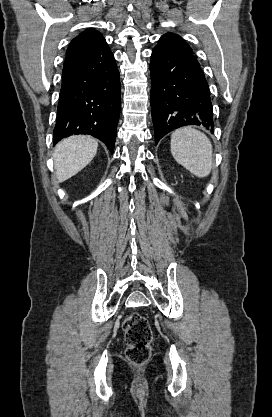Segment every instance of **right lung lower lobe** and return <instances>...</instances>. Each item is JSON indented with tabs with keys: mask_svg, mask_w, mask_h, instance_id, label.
Instances as JSON below:
<instances>
[{
	"mask_svg": "<svg viewBox=\"0 0 272 417\" xmlns=\"http://www.w3.org/2000/svg\"><path fill=\"white\" fill-rule=\"evenodd\" d=\"M121 108L119 71L106 42L92 53L66 59L54 144L73 134L92 135L114 151Z\"/></svg>",
	"mask_w": 272,
	"mask_h": 417,
	"instance_id": "98d812e1",
	"label": "right lung lower lobe"
}]
</instances>
